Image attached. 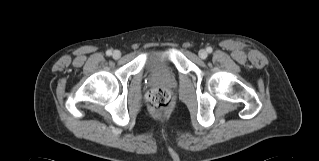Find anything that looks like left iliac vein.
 I'll list each match as a JSON object with an SVG mask.
<instances>
[{"mask_svg":"<svg viewBox=\"0 0 319 161\" xmlns=\"http://www.w3.org/2000/svg\"><path fill=\"white\" fill-rule=\"evenodd\" d=\"M207 52H206V50H204V49H201L200 51H199V57L201 58V59H205V58H207Z\"/></svg>","mask_w":319,"mask_h":161,"instance_id":"obj_1","label":"left iliac vein"}]
</instances>
